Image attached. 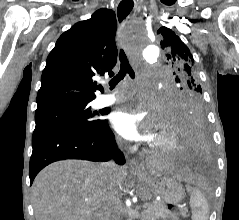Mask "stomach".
I'll use <instances>...</instances> for the list:
<instances>
[{"label":"stomach","instance_id":"stomach-1","mask_svg":"<svg viewBox=\"0 0 239 220\" xmlns=\"http://www.w3.org/2000/svg\"><path fill=\"white\" fill-rule=\"evenodd\" d=\"M140 185L151 186V191L148 192H155V195L169 204H177L185 197V190L175 177L154 178V183H140ZM165 210H182V205H165ZM183 217L185 212H163V220H183Z\"/></svg>","mask_w":239,"mask_h":220}]
</instances>
